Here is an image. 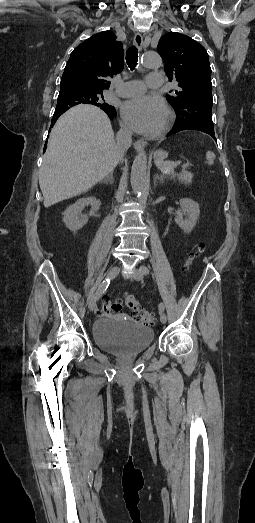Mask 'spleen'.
<instances>
[{"label": "spleen", "mask_w": 255, "mask_h": 523, "mask_svg": "<svg viewBox=\"0 0 255 523\" xmlns=\"http://www.w3.org/2000/svg\"><path fill=\"white\" fill-rule=\"evenodd\" d=\"M214 158L215 154H213V152H206V164H209V166L214 164ZM155 164L157 168L161 170V172H167V174H173L174 168L176 166V162H163V160H160V158L155 160Z\"/></svg>", "instance_id": "obj_1"}]
</instances>
